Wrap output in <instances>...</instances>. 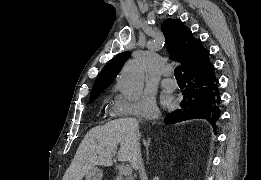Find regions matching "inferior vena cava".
<instances>
[{
  "instance_id": "inferior-vena-cava-1",
  "label": "inferior vena cava",
  "mask_w": 261,
  "mask_h": 180,
  "mask_svg": "<svg viewBox=\"0 0 261 180\" xmlns=\"http://www.w3.org/2000/svg\"><path fill=\"white\" fill-rule=\"evenodd\" d=\"M132 164H134L135 168H137V170H139V174H140L141 178H143V176H144V166H143V160H142L140 148L138 150L136 160H134V162H132Z\"/></svg>"
}]
</instances>
